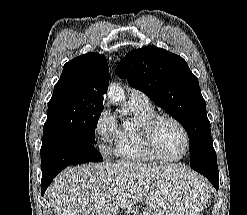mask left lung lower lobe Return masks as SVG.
I'll return each instance as SVG.
<instances>
[{"instance_id": "1", "label": "left lung lower lobe", "mask_w": 247, "mask_h": 215, "mask_svg": "<svg viewBox=\"0 0 247 215\" xmlns=\"http://www.w3.org/2000/svg\"><path fill=\"white\" fill-rule=\"evenodd\" d=\"M190 157L193 159L190 161L191 168L207 177L218 190V167L213 146H203L191 154Z\"/></svg>"}]
</instances>
